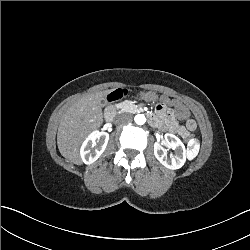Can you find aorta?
Listing matches in <instances>:
<instances>
[{"instance_id":"obj_1","label":"aorta","mask_w":250,"mask_h":250,"mask_svg":"<svg viewBox=\"0 0 250 250\" xmlns=\"http://www.w3.org/2000/svg\"><path fill=\"white\" fill-rule=\"evenodd\" d=\"M134 120H135V123L138 125H144L146 123V117L144 114H137Z\"/></svg>"}]
</instances>
